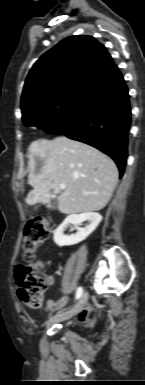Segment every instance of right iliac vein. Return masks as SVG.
I'll return each instance as SVG.
<instances>
[{
    "label": "right iliac vein",
    "instance_id": "1",
    "mask_svg": "<svg viewBox=\"0 0 145 385\" xmlns=\"http://www.w3.org/2000/svg\"><path fill=\"white\" fill-rule=\"evenodd\" d=\"M88 297L89 296H88L87 292L83 293L81 295L79 301L77 302V304L72 309H70L67 312H64L62 314H59V315L51 317L48 320V324H53V323H56V322L68 320V319L76 316L84 308V306L86 305V303L88 301Z\"/></svg>",
    "mask_w": 145,
    "mask_h": 385
}]
</instances>
